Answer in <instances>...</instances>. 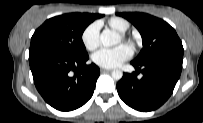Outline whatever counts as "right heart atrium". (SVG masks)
I'll use <instances>...</instances> for the list:
<instances>
[{
	"instance_id": "1",
	"label": "right heart atrium",
	"mask_w": 203,
	"mask_h": 123,
	"mask_svg": "<svg viewBox=\"0 0 203 123\" xmlns=\"http://www.w3.org/2000/svg\"><path fill=\"white\" fill-rule=\"evenodd\" d=\"M100 23H91L82 34V42L87 50H95L100 43Z\"/></svg>"
}]
</instances>
